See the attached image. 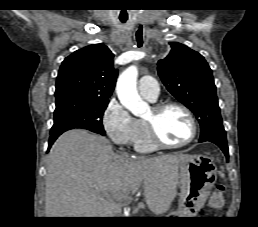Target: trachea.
<instances>
[{"instance_id":"trachea-1","label":"trachea","mask_w":258,"mask_h":227,"mask_svg":"<svg viewBox=\"0 0 258 227\" xmlns=\"http://www.w3.org/2000/svg\"><path fill=\"white\" fill-rule=\"evenodd\" d=\"M121 22H122V23H125V22H126V20L121 19Z\"/></svg>"}]
</instances>
